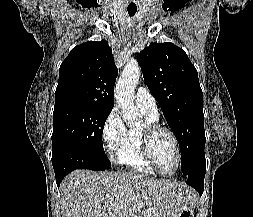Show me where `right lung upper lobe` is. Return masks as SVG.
<instances>
[{
  "instance_id": "obj_1",
  "label": "right lung upper lobe",
  "mask_w": 253,
  "mask_h": 217,
  "mask_svg": "<svg viewBox=\"0 0 253 217\" xmlns=\"http://www.w3.org/2000/svg\"><path fill=\"white\" fill-rule=\"evenodd\" d=\"M117 73L106 40L74 47L59 69L55 105L80 103L113 108Z\"/></svg>"
}]
</instances>
